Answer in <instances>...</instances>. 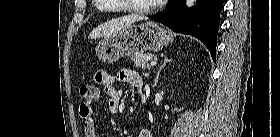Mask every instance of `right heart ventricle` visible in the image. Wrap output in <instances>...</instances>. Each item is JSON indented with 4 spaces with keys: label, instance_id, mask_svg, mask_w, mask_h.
<instances>
[{
    "label": "right heart ventricle",
    "instance_id": "right-heart-ventricle-1",
    "mask_svg": "<svg viewBox=\"0 0 280 137\" xmlns=\"http://www.w3.org/2000/svg\"><path fill=\"white\" fill-rule=\"evenodd\" d=\"M96 1V3H97V6H98V9L99 10H110V9H115L114 7H112V6H109V5H107V2L109 1V0H95Z\"/></svg>",
    "mask_w": 280,
    "mask_h": 137
}]
</instances>
